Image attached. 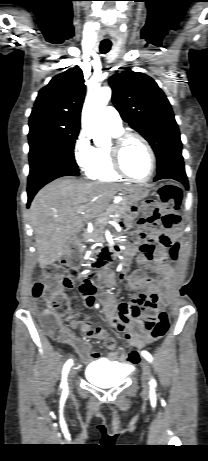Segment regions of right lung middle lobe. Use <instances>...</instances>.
<instances>
[{
    "mask_svg": "<svg viewBox=\"0 0 208 461\" xmlns=\"http://www.w3.org/2000/svg\"><path fill=\"white\" fill-rule=\"evenodd\" d=\"M79 129L80 126L61 120L30 119V173L50 163L64 164L79 171L73 153Z\"/></svg>",
    "mask_w": 208,
    "mask_h": 461,
    "instance_id": "dd1d6c3e",
    "label": "right lung middle lobe"
}]
</instances>
